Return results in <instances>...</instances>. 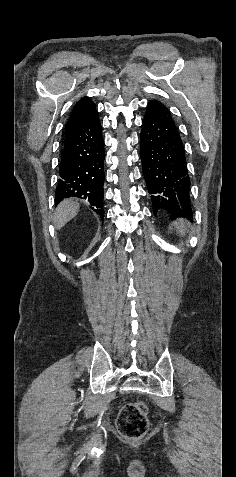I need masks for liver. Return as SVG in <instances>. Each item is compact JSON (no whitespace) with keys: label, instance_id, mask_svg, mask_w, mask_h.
Returning <instances> with one entry per match:
<instances>
[{"label":"liver","instance_id":"6515ba94","mask_svg":"<svg viewBox=\"0 0 236 477\" xmlns=\"http://www.w3.org/2000/svg\"><path fill=\"white\" fill-rule=\"evenodd\" d=\"M79 207V203L71 199L62 201L54 213L55 228L60 230L66 223L72 220L77 215Z\"/></svg>","mask_w":236,"mask_h":477}]
</instances>
